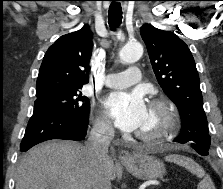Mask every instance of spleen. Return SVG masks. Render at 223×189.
<instances>
[{
    "mask_svg": "<svg viewBox=\"0 0 223 189\" xmlns=\"http://www.w3.org/2000/svg\"><path fill=\"white\" fill-rule=\"evenodd\" d=\"M165 160L168 162L176 163L177 165L186 168L192 174L196 175L198 178H203L202 181L198 184L197 189H215V186L210 176L207 175L204 169L191 158L172 154L166 156Z\"/></svg>",
    "mask_w": 223,
    "mask_h": 189,
    "instance_id": "1",
    "label": "spleen"
}]
</instances>
